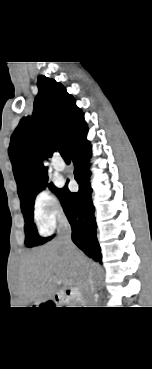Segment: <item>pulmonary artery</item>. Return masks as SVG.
Masks as SVG:
<instances>
[{"label": "pulmonary artery", "mask_w": 152, "mask_h": 369, "mask_svg": "<svg viewBox=\"0 0 152 369\" xmlns=\"http://www.w3.org/2000/svg\"><path fill=\"white\" fill-rule=\"evenodd\" d=\"M53 167L57 171H63L65 169V163L59 156H55L53 159Z\"/></svg>", "instance_id": "1"}]
</instances>
